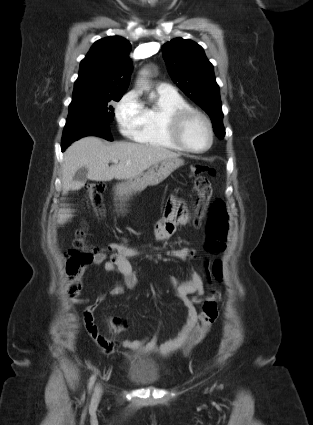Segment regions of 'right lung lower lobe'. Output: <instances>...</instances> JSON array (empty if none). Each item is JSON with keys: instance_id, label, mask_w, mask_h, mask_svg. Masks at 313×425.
<instances>
[{"instance_id": "98d812e1", "label": "right lung lower lobe", "mask_w": 313, "mask_h": 425, "mask_svg": "<svg viewBox=\"0 0 313 425\" xmlns=\"http://www.w3.org/2000/svg\"><path fill=\"white\" fill-rule=\"evenodd\" d=\"M85 136H99L112 141L106 122L101 119L78 115L72 119L70 124L66 123L62 137V151H64L73 141Z\"/></svg>"}]
</instances>
